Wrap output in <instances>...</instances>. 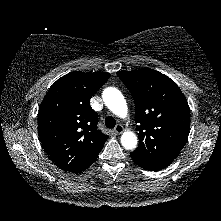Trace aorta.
<instances>
[{
	"label": "aorta",
	"mask_w": 221,
	"mask_h": 221,
	"mask_svg": "<svg viewBox=\"0 0 221 221\" xmlns=\"http://www.w3.org/2000/svg\"><path fill=\"white\" fill-rule=\"evenodd\" d=\"M102 98L108 109L120 118H125L128 107L123 94L115 87L105 88ZM121 144L125 149L133 150L137 146V137L131 131H125L121 136Z\"/></svg>",
	"instance_id": "obj_1"
}]
</instances>
